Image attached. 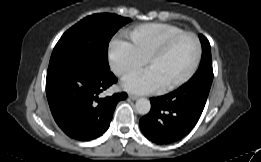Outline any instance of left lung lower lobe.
<instances>
[{
	"instance_id": "0a47b994",
	"label": "left lung lower lobe",
	"mask_w": 261,
	"mask_h": 162,
	"mask_svg": "<svg viewBox=\"0 0 261 162\" xmlns=\"http://www.w3.org/2000/svg\"><path fill=\"white\" fill-rule=\"evenodd\" d=\"M211 84L212 80L197 79L174 92L151 98V110L139 122L145 137L157 144H168L187 135L202 114Z\"/></svg>"
}]
</instances>
